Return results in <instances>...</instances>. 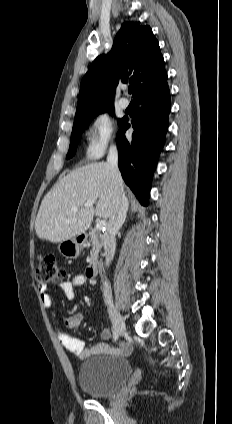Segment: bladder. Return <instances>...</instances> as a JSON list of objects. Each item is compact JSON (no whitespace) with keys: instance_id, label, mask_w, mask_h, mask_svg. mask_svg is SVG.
Returning <instances> with one entry per match:
<instances>
[{"instance_id":"bladder-1","label":"bladder","mask_w":232,"mask_h":424,"mask_svg":"<svg viewBox=\"0 0 232 424\" xmlns=\"http://www.w3.org/2000/svg\"><path fill=\"white\" fill-rule=\"evenodd\" d=\"M130 363L121 357L97 356L79 366L78 383L93 398L116 393L131 375Z\"/></svg>"}]
</instances>
